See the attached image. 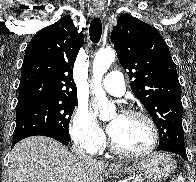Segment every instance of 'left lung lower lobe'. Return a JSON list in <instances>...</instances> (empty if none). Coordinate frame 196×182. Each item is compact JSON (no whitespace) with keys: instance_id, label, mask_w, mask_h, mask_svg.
Listing matches in <instances>:
<instances>
[{"instance_id":"1","label":"left lung lower lobe","mask_w":196,"mask_h":182,"mask_svg":"<svg viewBox=\"0 0 196 182\" xmlns=\"http://www.w3.org/2000/svg\"><path fill=\"white\" fill-rule=\"evenodd\" d=\"M157 151H169L180 155L184 160L188 161L185 147H168V148H157Z\"/></svg>"}]
</instances>
